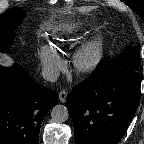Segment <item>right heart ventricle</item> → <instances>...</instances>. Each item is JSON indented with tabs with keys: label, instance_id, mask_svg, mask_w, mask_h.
I'll return each mask as SVG.
<instances>
[{
	"label": "right heart ventricle",
	"instance_id": "1",
	"mask_svg": "<svg viewBox=\"0 0 144 144\" xmlns=\"http://www.w3.org/2000/svg\"><path fill=\"white\" fill-rule=\"evenodd\" d=\"M85 31V27L80 24H70L68 25L61 35L56 39V47L63 48L67 46L71 41L75 40Z\"/></svg>",
	"mask_w": 144,
	"mask_h": 144
}]
</instances>
